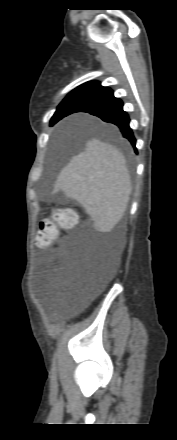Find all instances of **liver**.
<instances>
[{
    "label": "liver",
    "mask_w": 177,
    "mask_h": 440,
    "mask_svg": "<svg viewBox=\"0 0 177 440\" xmlns=\"http://www.w3.org/2000/svg\"><path fill=\"white\" fill-rule=\"evenodd\" d=\"M60 190L85 208L97 230L111 231L123 218L132 192L125 157L109 143L88 140L59 173L52 193Z\"/></svg>",
    "instance_id": "6515ba94"
}]
</instances>
